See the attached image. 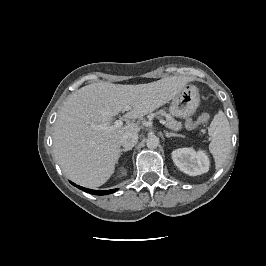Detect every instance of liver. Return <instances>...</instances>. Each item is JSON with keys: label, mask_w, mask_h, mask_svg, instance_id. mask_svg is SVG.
Instances as JSON below:
<instances>
[{"label": "liver", "mask_w": 266, "mask_h": 266, "mask_svg": "<svg viewBox=\"0 0 266 266\" xmlns=\"http://www.w3.org/2000/svg\"><path fill=\"white\" fill-rule=\"evenodd\" d=\"M191 81L184 76L122 85L107 82L86 85L70 95L55 122L53 152L64 174L85 187H99L114 173L121 138L140 131L134 122L112 127L113 118L127 105L129 119L152 113L173 99Z\"/></svg>", "instance_id": "obj_1"}]
</instances>
